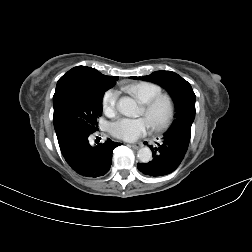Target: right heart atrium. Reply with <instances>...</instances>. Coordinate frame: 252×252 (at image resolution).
<instances>
[{"label":"right heart atrium","mask_w":252,"mask_h":252,"mask_svg":"<svg viewBox=\"0 0 252 252\" xmlns=\"http://www.w3.org/2000/svg\"><path fill=\"white\" fill-rule=\"evenodd\" d=\"M119 93L116 90H107L102 97V109L107 116H114L117 111Z\"/></svg>","instance_id":"right-heart-atrium-1"}]
</instances>
